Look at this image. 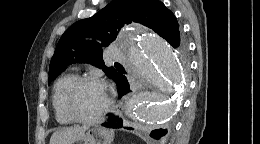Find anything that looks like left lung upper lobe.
I'll return each mask as SVG.
<instances>
[{"mask_svg": "<svg viewBox=\"0 0 260 144\" xmlns=\"http://www.w3.org/2000/svg\"><path fill=\"white\" fill-rule=\"evenodd\" d=\"M131 22L151 28L167 42L179 31L176 17L161 1L112 0L94 16L74 23L64 32L50 62L48 81L70 64L90 63L117 83L124 72L105 66L102 48L116 39L124 24ZM177 48L185 52L186 43Z\"/></svg>", "mask_w": 260, "mask_h": 144, "instance_id": "5c2ea615", "label": "left lung upper lobe"}]
</instances>
